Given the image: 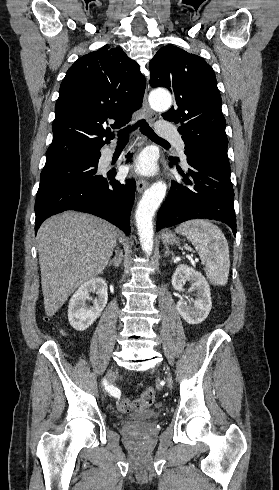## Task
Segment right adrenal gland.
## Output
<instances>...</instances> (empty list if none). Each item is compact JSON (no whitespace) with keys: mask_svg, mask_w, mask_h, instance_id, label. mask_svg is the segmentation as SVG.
<instances>
[{"mask_svg":"<svg viewBox=\"0 0 279 490\" xmlns=\"http://www.w3.org/2000/svg\"><path fill=\"white\" fill-rule=\"evenodd\" d=\"M122 252L120 250H116V258H114V260H111V262H109L108 266H114V268H119L121 262H122Z\"/></svg>","mask_w":279,"mask_h":490,"instance_id":"1","label":"right adrenal gland"}]
</instances>
